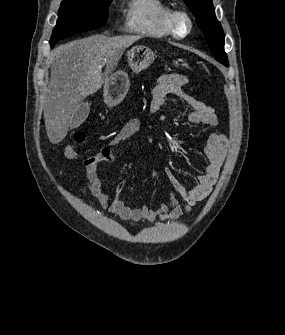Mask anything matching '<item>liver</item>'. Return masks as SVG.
I'll use <instances>...</instances> for the list:
<instances>
[{
	"label": "liver",
	"mask_w": 285,
	"mask_h": 335,
	"mask_svg": "<svg viewBox=\"0 0 285 335\" xmlns=\"http://www.w3.org/2000/svg\"><path fill=\"white\" fill-rule=\"evenodd\" d=\"M140 38L90 36L54 50L44 106L45 128L51 144H59L66 138L78 104L107 82L103 66L115 68L124 50Z\"/></svg>",
	"instance_id": "6515ba94"
}]
</instances>
